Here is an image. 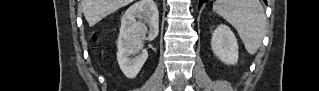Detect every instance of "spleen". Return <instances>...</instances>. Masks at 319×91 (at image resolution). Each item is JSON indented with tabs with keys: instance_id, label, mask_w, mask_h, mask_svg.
I'll return each instance as SVG.
<instances>
[{
	"instance_id": "3e777b00",
	"label": "spleen",
	"mask_w": 319,
	"mask_h": 91,
	"mask_svg": "<svg viewBox=\"0 0 319 91\" xmlns=\"http://www.w3.org/2000/svg\"><path fill=\"white\" fill-rule=\"evenodd\" d=\"M213 10L238 32L247 52L255 54L266 33V15L259 0H217Z\"/></svg>"
}]
</instances>
